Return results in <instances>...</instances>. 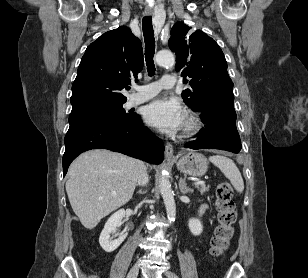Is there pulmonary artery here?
<instances>
[{
    "mask_svg": "<svg viewBox=\"0 0 308 278\" xmlns=\"http://www.w3.org/2000/svg\"><path fill=\"white\" fill-rule=\"evenodd\" d=\"M175 85V77L170 74L164 75L159 81L138 87L136 92L130 97L131 106L143 103L156 96L162 89H170Z\"/></svg>",
    "mask_w": 308,
    "mask_h": 278,
    "instance_id": "e3ab8cb5",
    "label": "pulmonary artery"
}]
</instances>
